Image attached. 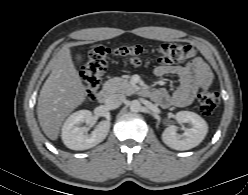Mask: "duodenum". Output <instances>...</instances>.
<instances>
[{"mask_svg":"<svg viewBox=\"0 0 248 195\" xmlns=\"http://www.w3.org/2000/svg\"><path fill=\"white\" fill-rule=\"evenodd\" d=\"M112 89L108 86H104L97 94V99L100 103L107 104L112 100ZM141 94H146L147 90L142 89L140 91Z\"/></svg>","mask_w":248,"mask_h":195,"instance_id":"410a0bca","label":"duodenum"}]
</instances>
